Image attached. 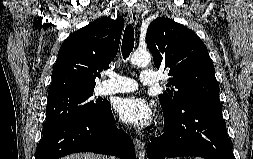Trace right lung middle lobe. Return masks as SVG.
Listing matches in <instances>:
<instances>
[{"mask_svg":"<svg viewBox=\"0 0 253 159\" xmlns=\"http://www.w3.org/2000/svg\"><path fill=\"white\" fill-rule=\"evenodd\" d=\"M93 91L69 94L48 99L46 107L47 119L43 133L80 115H97L105 110L107 101L91 100Z\"/></svg>","mask_w":253,"mask_h":159,"instance_id":"1","label":"right lung middle lobe"}]
</instances>
